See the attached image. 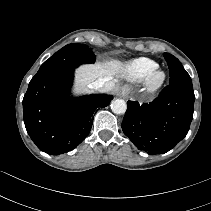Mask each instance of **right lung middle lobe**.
I'll use <instances>...</instances> for the list:
<instances>
[{"mask_svg":"<svg viewBox=\"0 0 211 211\" xmlns=\"http://www.w3.org/2000/svg\"><path fill=\"white\" fill-rule=\"evenodd\" d=\"M95 55L84 44H68L46 60L40 67L39 73L64 69L76 68L81 64L94 63Z\"/></svg>","mask_w":211,"mask_h":211,"instance_id":"dd1d6c3e","label":"right lung middle lobe"}]
</instances>
